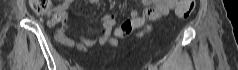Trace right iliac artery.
Masks as SVG:
<instances>
[{
    "mask_svg": "<svg viewBox=\"0 0 238 70\" xmlns=\"http://www.w3.org/2000/svg\"><path fill=\"white\" fill-rule=\"evenodd\" d=\"M70 70H76V68L73 66V67H71V69Z\"/></svg>",
    "mask_w": 238,
    "mask_h": 70,
    "instance_id": "82829eb1",
    "label": "right iliac artery"
}]
</instances>
